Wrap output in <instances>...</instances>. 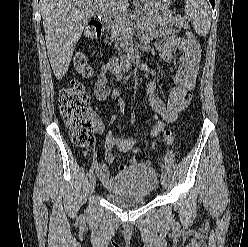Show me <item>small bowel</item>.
<instances>
[{"label":"small bowel","instance_id":"small-bowel-1","mask_svg":"<svg viewBox=\"0 0 248 247\" xmlns=\"http://www.w3.org/2000/svg\"><path fill=\"white\" fill-rule=\"evenodd\" d=\"M160 35L162 37L155 42V48L160 58L167 63H172L175 59L178 61L174 77L175 86L169 92L166 105L157 93V82L155 80H151L147 84L146 92L150 106L155 112V119L163 117L168 124L174 122L177 114L185 109L192 100L199 61L201 59V48L196 40L178 37L169 28H162ZM107 73L118 74L117 61L115 59H110L103 63L95 76L94 94L100 101H105L109 96L110 90L106 78ZM93 125L96 134L101 135L105 133V125L97 115H93ZM163 137L165 145H170L174 141V136L170 130H165ZM135 141V137L119 138L111 132L106 133L104 161L97 159L95 161V168L100 181L108 188L115 189L117 180V177L111 174L108 167V164L114 161L112 149L117 148L120 151L130 153L140 152L141 149L134 146ZM130 163L133 166L149 167L152 161L132 157ZM125 169H127L126 165L121 164L119 166L120 173Z\"/></svg>","mask_w":248,"mask_h":247}]
</instances>
